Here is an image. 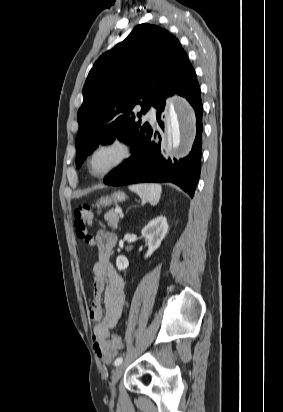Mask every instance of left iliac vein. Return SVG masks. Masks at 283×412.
Instances as JSON below:
<instances>
[{
  "label": "left iliac vein",
  "instance_id": "4c4485c4",
  "mask_svg": "<svg viewBox=\"0 0 283 412\" xmlns=\"http://www.w3.org/2000/svg\"><path fill=\"white\" fill-rule=\"evenodd\" d=\"M126 365L125 364H120L117 366V368L114 370L111 378V383H110V388H111V393L112 396H115V385L118 382V380L121 378L124 370H125Z\"/></svg>",
  "mask_w": 283,
  "mask_h": 412
}]
</instances>
